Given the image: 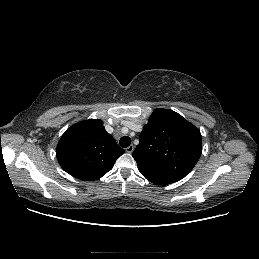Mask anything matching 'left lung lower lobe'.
<instances>
[{"instance_id": "1", "label": "left lung lower lobe", "mask_w": 259, "mask_h": 259, "mask_svg": "<svg viewBox=\"0 0 259 259\" xmlns=\"http://www.w3.org/2000/svg\"><path fill=\"white\" fill-rule=\"evenodd\" d=\"M142 174L144 175V177H145L147 180H149L150 182H152V183H154V184H156V185H166V184H170V183H167V182H165V181H163V180H160V179L154 178V177H152V176H149V175H147V174H144V173H142Z\"/></svg>"}]
</instances>
